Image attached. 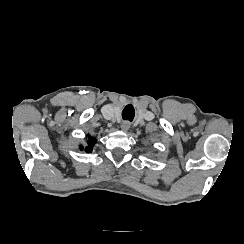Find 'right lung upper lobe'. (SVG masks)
<instances>
[{
  "mask_svg": "<svg viewBox=\"0 0 244 244\" xmlns=\"http://www.w3.org/2000/svg\"><path fill=\"white\" fill-rule=\"evenodd\" d=\"M96 142L97 141H96L95 137H89L86 147L84 148L83 146H81L80 148H81V150H85L87 153H91Z\"/></svg>",
  "mask_w": 244,
  "mask_h": 244,
  "instance_id": "obj_1",
  "label": "right lung upper lobe"
}]
</instances>
